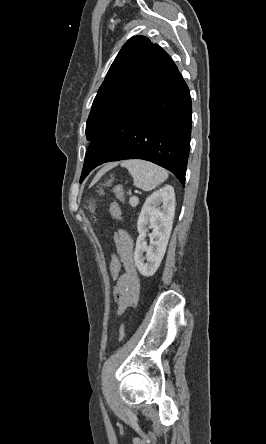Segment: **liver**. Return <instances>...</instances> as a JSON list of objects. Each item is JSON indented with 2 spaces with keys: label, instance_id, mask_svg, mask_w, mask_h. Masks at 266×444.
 Listing matches in <instances>:
<instances>
[{
  "label": "liver",
  "instance_id": "liver-1",
  "mask_svg": "<svg viewBox=\"0 0 266 444\" xmlns=\"http://www.w3.org/2000/svg\"><path fill=\"white\" fill-rule=\"evenodd\" d=\"M114 166H116V163H111L107 166H105L99 173H98V177H100L103 173H105L107 170L113 168Z\"/></svg>",
  "mask_w": 266,
  "mask_h": 444
}]
</instances>
